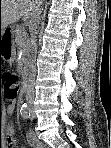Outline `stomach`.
I'll return each instance as SVG.
<instances>
[{"label": "stomach", "instance_id": "0dacf381", "mask_svg": "<svg viewBox=\"0 0 111 148\" xmlns=\"http://www.w3.org/2000/svg\"><path fill=\"white\" fill-rule=\"evenodd\" d=\"M16 50L14 42L11 41L9 43H6L4 45H0V60L12 63L15 59Z\"/></svg>", "mask_w": 111, "mask_h": 148}]
</instances>
